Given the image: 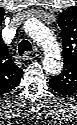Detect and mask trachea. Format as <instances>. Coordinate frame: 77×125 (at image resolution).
Returning <instances> with one entry per match:
<instances>
[{
  "mask_svg": "<svg viewBox=\"0 0 77 125\" xmlns=\"http://www.w3.org/2000/svg\"><path fill=\"white\" fill-rule=\"evenodd\" d=\"M32 46L28 40H23L19 44V52L22 54L24 51H31Z\"/></svg>",
  "mask_w": 77,
  "mask_h": 125,
  "instance_id": "obj_1",
  "label": "trachea"
}]
</instances>
